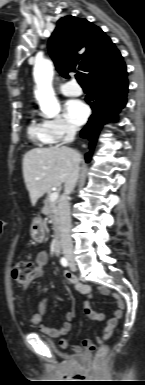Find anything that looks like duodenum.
Segmentation results:
<instances>
[{"label": "duodenum", "instance_id": "1", "mask_svg": "<svg viewBox=\"0 0 145 385\" xmlns=\"http://www.w3.org/2000/svg\"><path fill=\"white\" fill-rule=\"evenodd\" d=\"M53 252L55 255H59L61 253V241L57 238L53 245Z\"/></svg>", "mask_w": 145, "mask_h": 385}]
</instances>
